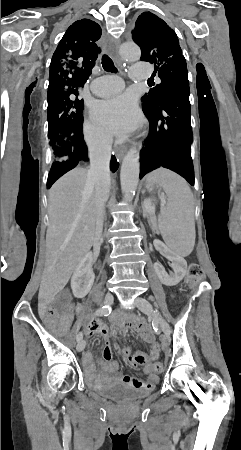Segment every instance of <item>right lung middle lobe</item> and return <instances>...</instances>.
I'll return each mask as SVG.
<instances>
[{
	"mask_svg": "<svg viewBox=\"0 0 241 450\" xmlns=\"http://www.w3.org/2000/svg\"><path fill=\"white\" fill-rule=\"evenodd\" d=\"M78 95V90L70 89L57 97L48 99V137L52 162L67 160L72 156V147L62 134V129L83 123L84 103Z\"/></svg>",
	"mask_w": 241,
	"mask_h": 450,
	"instance_id": "obj_1",
	"label": "right lung middle lobe"
}]
</instances>
